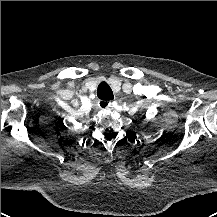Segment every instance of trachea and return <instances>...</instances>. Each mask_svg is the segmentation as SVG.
Listing matches in <instances>:
<instances>
[{
  "mask_svg": "<svg viewBox=\"0 0 217 217\" xmlns=\"http://www.w3.org/2000/svg\"><path fill=\"white\" fill-rule=\"evenodd\" d=\"M98 98L101 100H112L114 98L113 92L110 86L106 82H102L99 84L97 89Z\"/></svg>",
  "mask_w": 217,
  "mask_h": 217,
  "instance_id": "3493384b",
  "label": "trachea"
}]
</instances>
